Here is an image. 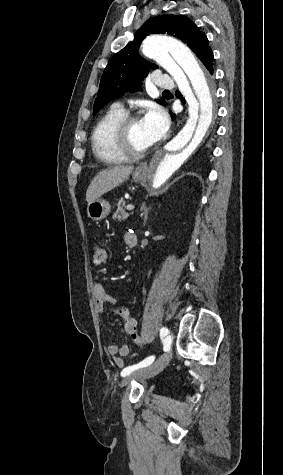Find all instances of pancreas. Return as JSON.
<instances>
[{
	"mask_svg": "<svg viewBox=\"0 0 283 475\" xmlns=\"http://www.w3.org/2000/svg\"><path fill=\"white\" fill-rule=\"evenodd\" d=\"M124 208H126L124 198H121L117 204V210L114 212L112 218L113 220H118V222H122V220H127L129 214L125 212Z\"/></svg>",
	"mask_w": 283,
	"mask_h": 475,
	"instance_id": "cf45deb5",
	"label": "pancreas"
}]
</instances>
